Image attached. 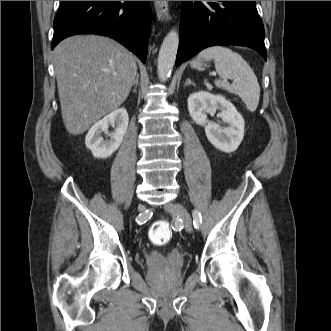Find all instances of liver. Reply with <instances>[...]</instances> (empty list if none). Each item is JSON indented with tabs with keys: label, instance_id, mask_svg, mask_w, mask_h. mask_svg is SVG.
Instances as JSON below:
<instances>
[{
	"label": "liver",
	"instance_id": "liver-1",
	"mask_svg": "<svg viewBox=\"0 0 331 331\" xmlns=\"http://www.w3.org/2000/svg\"><path fill=\"white\" fill-rule=\"evenodd\" d=\"M53 57L63 123L73 135L117 110L137 74L134 55L103 36L68 37L55 47Z\"/></svg>",
	"mask_w": 331,
	"mask_h": 331
}]
</instances>
